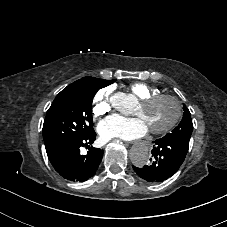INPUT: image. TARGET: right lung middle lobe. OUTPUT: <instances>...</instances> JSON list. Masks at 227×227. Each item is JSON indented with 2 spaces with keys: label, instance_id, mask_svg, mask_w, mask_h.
<instances>
[{
  "label": "right lung middle lobe",
  "instance_id": "obj_1",
  "mask_svg": "<svg viewBox=\"0 0 227 227\" xmlns=\"http://www.w3.org/2000/svg\"><path fill=\"white\" fill-rule=\"evenodd\" d=\"M115 82L83 77L63 89L46 113L43 139L46 149L93 130L92 100L96 92Z\"/></svg>",
  "mask_w": 227,
  "mask_h": 227
}]
</instances>
